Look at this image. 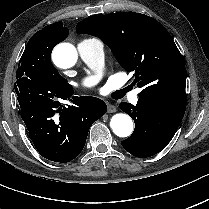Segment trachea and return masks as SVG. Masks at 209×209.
<instances>
[{
    "instance_id": "1",
    "label": "trachea",
    "mask_w": 209,
    "mask_h": 209,
    "mask_svg": "<svg viewBox=\"0 0 209 209\" xmlns=\"http://www.w3.org/2000/svg\"><path fill=\"white\" fill-rule=\"evenodd\" d=\"M126 91H127V89L125 88V89L116 91L115 94H116L117 98L119 99L124 96Z\"/></svg>"
}]
</instances>
